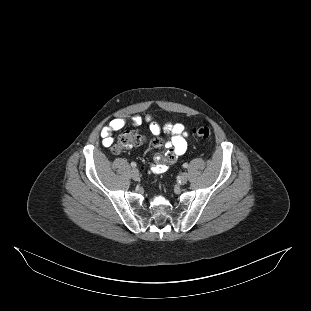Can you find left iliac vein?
<instances>
[{"instance_id": "left-iliac-vein-1", "label": "left iliac vein", "mask_w": 311, "mask_h": 311, "mask_svg": "<svg viewBox=\"0 0 311 311\" xmlns=\"http://www.w3.org/2000/svg\"><path fill=\"white\" fill-rule=\"evenodd\" d=\"M188 180V174L187 173H182L179 177V182L180 184H186Z\"/></svg>"}]
</instances>
